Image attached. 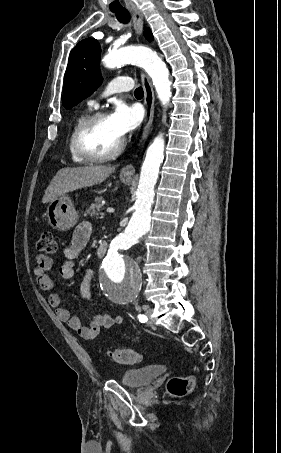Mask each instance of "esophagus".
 Here are the masks:
<instances>
[{
    "label": "esophagus",
    "instance_id": "esophagus-1",
    "mask_svg": "<svg viewBox=\"0 0 281 453\" xmlns=\"http://www.w3.org/2000/svg\"><path fill=\"white\" fill-rule=\"evenodd\" d=\"M130 12L133 18V27L135 30V34L139 36L142 32L144 23L142 13L138 9L130 10ZM141 81L144 89V105H145V119L141 138V142L143 143L146 140L147 136L149 135L152 126L155 98L153 87L150 83L149 78L144 72L141 73ZM121 172L124 175H133L135 173V169L132 163H129L124 168H122Z\"/></svg>",
    "mask_w": 281,
    "mask_h": 453
}]
</instances>
